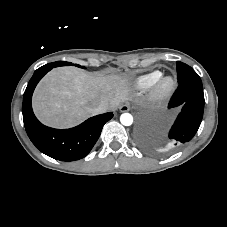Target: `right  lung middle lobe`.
<instances>
[{"instance_id":"obj_1","label":"right lung middle lobe","mask_w":227,"mask_h":227,"mask_svg":"<svg viewBox=\"0 0 227 227\" xmlns=\"http://www.w3.org/2000/svg\"><path fill=\"white\" fill-rule=\"evenodd\" d=\"M47 66H51L52 68L54 67H58V66H69V65H72V63L70 62H64V61H57V62H53V63H49V64H46ZM77 67H81L79 65L76 64Z\"/></svg>"}]
</instances>
